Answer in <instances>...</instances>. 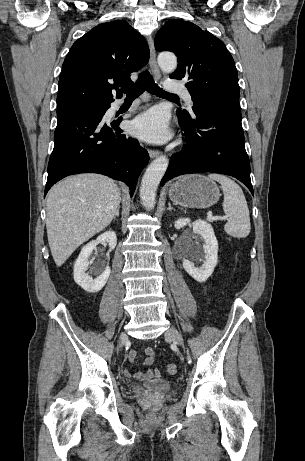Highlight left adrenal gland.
Segmentation results:
<instances>
[{
    "label": "left adrenal gland",
    "mask_w": 305,
    "mask_h": 461,
    "mask_svg": "<svg viewBox=\"0 0 305 461\" xmlns=\"http://www.w3.org/2000/svg\"><path fill=\"white\" fill-rule=\"evenodd\" d=\"M167 210H168V211H170V210H175V209L171 206V203H170V202L168 203V208H167Z\"/></svg>",
    "instance_id": "obj_1"
}]
</instances>
